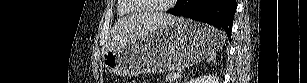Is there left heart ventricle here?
<instances>
[{
  "label": "left heart ventricle",
  "mask_w": 307,
  "mask_h": 83,
  "mask_svg": "<svg viewBox=\"0 0 307 83\" xmlns=\"http://www.w3.org/2000/svg\"><path fill=\"white\" fill-rule=\"evenodd\" d=\"M141 3L145 5L148 9L158 8L163 6L169 0H140Z\"/></svg>",
  "instance_id": "b2bd125f"
}]
</instances>
